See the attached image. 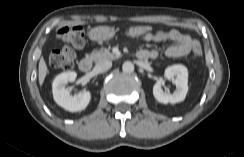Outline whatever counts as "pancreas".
I'll use <instances>...</instances> for the list:
<instances>
[{"label":"pancreas","instance_id":"1","mask_svg":"<svg viewBox=\"0 0 244 157\" xmlns=\"http://www.w3.org/2000/svg\"><path fill=\"white\" fill-rule=\"evenodd\" d=\"M89 58H91L96 63H99L104 60H115L118 59L119 56L111 53L109 50H98L94 51L89 55Z\"/></svg>","mask_w":244,"mask_h":157}]
</instances>
